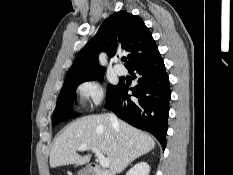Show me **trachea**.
<instances>
[{"label":"trachea","instance_id":"3493384b","mask_svg":"<svg viewBox=\"0 0 233 175\" xmlns=\"http://www.w3.org/2000/svg\"><path fill=\"white\" fill-rule=\"evenodd\" d=\"M127 59L126 58H122V61H126Z\"/></svg>","mask_w":233,"mask_h":175}]
</instances>
